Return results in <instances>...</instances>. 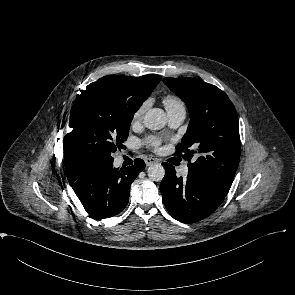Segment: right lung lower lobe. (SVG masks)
<instances>
[{"instance_id": "98d812e1", "label": "right lung lower lobe", "mask_w": 295, "mask_h": 295, "mask_svg": "<svg viewBox=\"0 0 295 295\" xmlns=\"http://www.w3.org/2000/svg\"><path fill=\"white\" fill-rule=\"evenodd\" d=\"M145 168L142 159L133 166L114 168L113 160L81 164L68 179L89 217L94 220L113 217L128 204L130 185Z\"/></svg>"}]
</instances>
